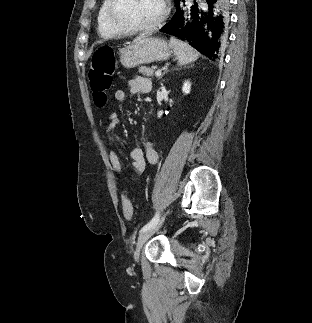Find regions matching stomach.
Wrapping results in <instances>:
<instances>
[{
	"label": "stomach",
	"mask_w": 312,
	"mask_h": 323,
	"mask_svg": "<svg viewBox=\"0 0 312 323\" xmlns=\"http://www.w3.org/2000/svg\"><path fill=\"white\" fill-rule=\"evenodd\" d=\"M172 50L162 38L139 36L134 42L119 50V58L124 68H135L139 64H152L168 60Z\"/></svg>",
	"instance_id": "obj_1"
}]
</instances>
